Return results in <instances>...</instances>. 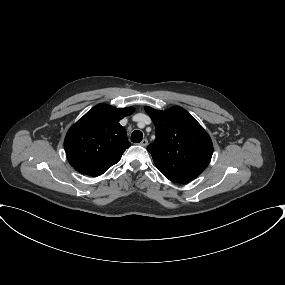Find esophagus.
Here are the masks:
<instances>
[{
  "instance_id": "34e87169",
  "label": "esophagus",
  "mask_w": 285,
  "mask_h": 285,
  "mask_svg": "<svg viewBox=\"0 0 285 285\" xmlns=\"http://www.w3.org/2000/svg\"><path fill=\"white\" fill-rule=\"evenodd\" d=\"M140 145L141 146H147L148 145V140L145 138V139H143L141 142H140Z\"/></svg>"
}]
</instances>
